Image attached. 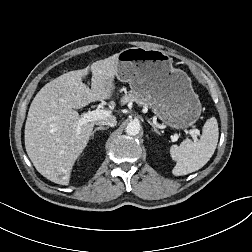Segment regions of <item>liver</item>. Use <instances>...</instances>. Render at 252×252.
I'll list each match as a JSON object with an SVG mask.
<instances>
[{
	"label": "liver",
	"mask_w": 252,
	"mask_h": 252,
	"mask_svg": "<svg viewBox=\"0 0 252 252\" xmlns=\"http://www.w3.org/2000/svg\"><path fill=\"white\" fill-rule=\"evenodd\" d=\"M117 56L57 77L33 99L25 124V148L36 170L48 180L68 185L75 161L87 146L94 125L115 118L109 115L78 127L81 117L74 109L113 96ZM89 71L91 89L83 83Z\"/></svg>",
	"instance_id": "1"
}]
</instances>
